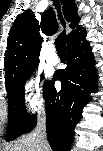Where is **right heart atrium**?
<instances>
[{
  "instance_id": "right-heart-atrium-1",
  "label": "right heart atrium",
  "mask_w": 103,
  "mask_h": 151,
  "mask_svg": "<svg viewBox=\"0 0 103 151\" xmlns=\"http://www.w3.org/2000/svg\"><path fill=\"white\" fill-rule=\"evenodd\" d=\"M23 105L27 113H33L42 107L44 98L41 80L38 76L29 77L23 86Z\"/></svg>"
}]
</instances>
